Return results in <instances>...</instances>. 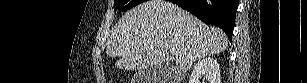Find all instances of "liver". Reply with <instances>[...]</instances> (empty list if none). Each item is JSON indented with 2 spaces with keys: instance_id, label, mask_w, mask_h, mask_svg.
I'll return each instance as SVG.
<instances>
[{
  "instance_id": "obj_1",
  "label": "liver",
  "mask_w": 307,
  "mask_h": 83,
  "mask_svg": "<svg viewBox=\"0 0 307 83\" xmlns=\"http://www.w3.org/2000/svg\"><path fill=\"white\" fill-rule=\"evenodd\" d=\"M227 44L228 38L219 28L205 25L171 2L149 0L119 19L111 30L106 53L119 58L116 65L121 69L161 70L169 50L175 49L172 68L184 72L196 60L224 51ZM160 81L169 79L165 76Z\"/></svg>"
}]
</instances>
